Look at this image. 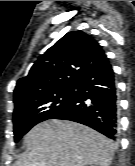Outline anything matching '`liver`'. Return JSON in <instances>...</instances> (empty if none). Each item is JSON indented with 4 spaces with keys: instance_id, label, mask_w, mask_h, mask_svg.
<instances>
[{
    "instance_id": "6515ba94",
    "label": "liver",
    "mask_w": 135,
    "mask_h": 166,
    "mask_svg": "<svg viewBox=\"0 0 135 166\" xmlns=\"http://www.w3.org/2000/svg\"><path fill=\"white\" fill-rule=\"evenodd\" d=\"M28 151L13 166H109L114 155L110 139L79 123L51 119L25 136Z\"/></svg>"
}]
</instances>
